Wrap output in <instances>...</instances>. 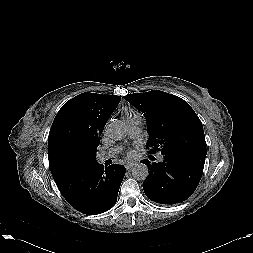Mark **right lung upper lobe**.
Returning <instances> with one entry per match:
<instances>
[{"instance_id": "1", "label": "right lung upper lobe", "mask_w": 253, "mask_h": 253, "mask_svg": "<svg viewBox=\"0 0 253 253\" xmlns=\"http://www.w3.org/2000/svg\"><path fill=\"white\" fill-rule=\"evenodd\" d=\"M120 96L82 93L57 113L48 136V159L54 179L76 170L100 143V134Z\"/></svg>"}]
</instances>
